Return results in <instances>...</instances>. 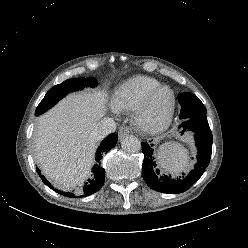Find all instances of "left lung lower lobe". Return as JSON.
Here are the masks:
<instances>
[{
	"mask_svg": "<svg viewBox=\"0 0 248 248\" xmlns=\"http://www.w3.org/2000/svg\"><path fill=\"white\" fill-rule=\"evenodd\" d=\"M187 118L182 122L179 128L182 129V134L186 131L194 133L195 143L198 149L197 164L189 175L183 179H172L171 176L160 174L159 169L156 168V162L153 154V144L149 145L147 142L142 143V150L144 153V160L142 164V175L146 184L153 190L177 194L188 190L205 172L206 167L210 162L212 152V133L209 128L206 114H198Z\"/></svg>",
	"mask_w": 248,
	"mask_h": 248,
	"instance_id": "0a47b994",
	"label": "left lung lower lobe"
}]
</instances>
